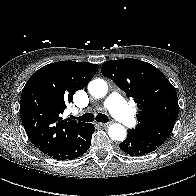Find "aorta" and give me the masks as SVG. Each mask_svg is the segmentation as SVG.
Returning <instances> with one entry per match:
<instances>
[{"label":"aorta","mask_w":196,"mask_h":196,"mask_svg":"<svg viewBox=\"0 0 196 196\" xmlns=\"http://www.w3.org/2000/svg\"><path fill=\"white\" fill-rule=\"evenodd\" d=\"M88 91L95 98H103L107 94L108 85L103 79H95L88 84ZM108 134L112 140L123 141L126 138L127 132L123 125L114 123L110 125Z\"/></svg>","instance_id":"obj_1"}]
</instances>
